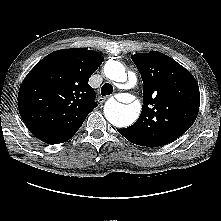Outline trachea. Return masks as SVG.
I'll return each mask as SVG.
<instances>
[{
	"label": "trachea",
	"instance_id": "1",
	"mask_svg": "<svg viewBox=\"0 0 221 221\" xmlns=\"http://www.w3.org/2000/svg\"><path fill=\"white\" fill-rule=\"evenodd\" d=\"M113 93V86L109 83H105L101 88V95L106 96Z\"/></svg>",
	"mask_w": 221,
	"mask_h": 221
}]
</instances>
